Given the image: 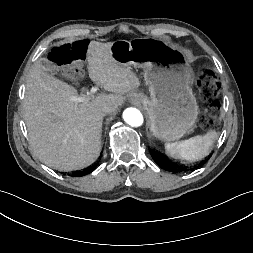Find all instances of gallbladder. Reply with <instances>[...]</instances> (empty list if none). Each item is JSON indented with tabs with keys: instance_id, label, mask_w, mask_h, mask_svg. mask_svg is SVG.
<instances>
[{
	"instance_id": "gallbladder-1",
	"label": "gallbladder",
	"mask_w": 253,
	"mask_h": 253,
	"mask_svg": "<svg viewBox=\"0 0 253 253\" xmlns=\"http://www.w3.org/2000/svg\"><path fill=\"white\" fill-rule=\"evenodd\" d=\"M41 65L43 66V68L47 71H49L50 73L54 74V69L51 65V63L49 61H47L46 59H41Z\"/></svg>"
}]
</instances>
